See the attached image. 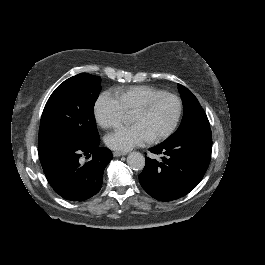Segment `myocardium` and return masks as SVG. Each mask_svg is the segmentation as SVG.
Here are the masks:
<instances>
[{
  "label": "myocardium",
  "mask_w": 265,
  "mask_h": 265,
  "mask_svg": "<svg viewBox=\"0 0 265 265\" xmlns=\"http://www.w3.org/2000/svg\"><path fill=\"white\" fill-rule=\"evenodd\" d=\"M161 97H167V98H171L173 99L176 103H177V111H176V115L174 120L172 121V123L166 128L164 129L162 132H160L158 135H156L155 137L150 139V144H156L159 143L160 141H162L163 139L167 138L168 136H170L174 130L176 129L181 116H182V112H183V102L182 99L176 95L173 94L171 92H167V91H160L157 92L151 96H149L135 111V113H143L145 111H147L149 109V107L159 98Z\"/></svg>",
  "instance_id": "f54148a6"
}]
</instances>
